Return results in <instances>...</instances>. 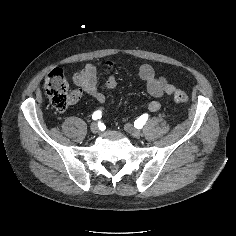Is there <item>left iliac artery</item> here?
I'll return each instance as SVG.
<instances>
[{
	"label": "left iliac artery",
	"mask_w": 236,
	"mask_h": 236,
	"mask_svg": "<svg viewBox=\"0 0 236 236\" xmlns=\"http://www.w3.org/2000/svg\"><path fill=\"white\" fill-rule=\"evenodd\" d=\"M149 115L148 114H143L138 120L134 122V126H136L138 129L143 127L145 122L147 121Z\"/></svg>",
	"instance_id": "left-iliac-artery-1"
}]
</instances>
